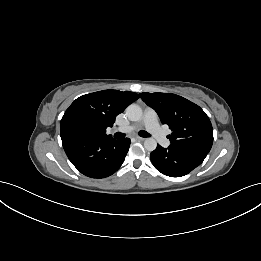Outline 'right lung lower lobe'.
Here are the masks:
<instances>
[{
	"label": "right lung lower lobe",
	"mask_w": 261,
	"mask_h": 261,
	"mask_svg": "<svg viewBox=\"0 0 261 261\" xmlns=\"http://www.w3.org/2000/svg\"><path fill=\"white\" fill-rule=\"evenodd\" d=\"M130 139L109 137L70 138L62 140L63 148L76 169L91 178L114 174L125 160Z\"/></svg>",
	"instance_id": "1"
}]
</instances>
